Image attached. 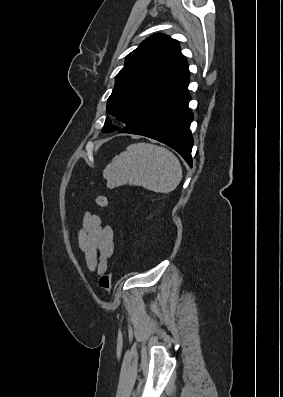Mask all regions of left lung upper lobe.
Instances as JSON below:
<instances>
[{"instance_id": "left-lung-upper-lobe-1", "label": "left lung upper lobe", "mask_w": 283, "mask_h": 397, "mask_svg": "<svg viewBox=\"0 0 283 397\" xmlns=\"http://www.w3.org/2000/svg\"><path fill=\"white\" fill-rule=\"evenodd\" d=\"M189 73L178 41L162 34L153 35L126 56L108 98L107 111L128 126L147 109L189 83ZM116 129L120 128L106 120L102 131Z\"/></svg>"}]
</instances>
